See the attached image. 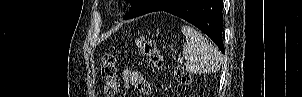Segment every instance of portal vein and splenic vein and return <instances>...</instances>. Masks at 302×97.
<instances>
[{"label":"portal vein and splenic vein","instance_id":"portal-vein-and-splenic-vein-1","mask_svg":"<svg viewBox=\"0 0 302 97\" xmlns=\"http://www.w3.org/2000/svg\"><path fill=\"white\" fill-rule=\"evenodd\" d=\"M178 63H183V59L182 58H178Z\"/></svg>","mask_w":302,"mask_h":97}]
</instances>
